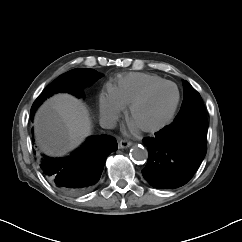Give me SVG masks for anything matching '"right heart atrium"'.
Listing matches in <instances>:
<instances>
[{"label": "right heart atrium", "mask_w": 242, "mask_h": 242, "mask_svg": "<svg viewBox=\"0 0 242 242\" xmlns=\"http://www.w3.org/2000/svg\"><path fill=\"white\" fill-rule=\"evenodd\" d=\"M98 105L101 120L106 125H112L124 110V106L116 99L111 90L100 93Z\"/></svg>", "instance_id": "right-heart-atrium-1"}]
</instances>
